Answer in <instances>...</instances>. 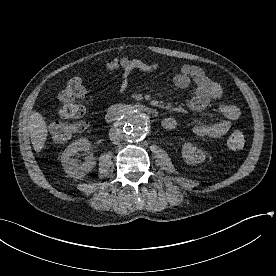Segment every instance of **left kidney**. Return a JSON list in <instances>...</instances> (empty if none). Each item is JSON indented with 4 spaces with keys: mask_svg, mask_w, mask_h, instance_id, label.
Instances as JSON below:
<instances>
[{
    "mask_svg": "<svg viewBox=\"0 0 276 276\" xmlns=\"http://www.w3.org/2000/svg\"><path fill=\"white\" fill-rule=\"evenodd\" d=\"M182 157L184 161L190 165L202 163L206 159L204 152L190 142L182 146Z\"/></svg>",
    "mask_w": 276,
    "mask_h": 276,
    "instance_id": "1",
    "label": "left kidney"
}]
</instances>
